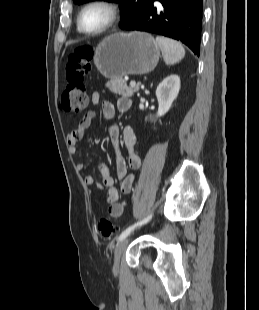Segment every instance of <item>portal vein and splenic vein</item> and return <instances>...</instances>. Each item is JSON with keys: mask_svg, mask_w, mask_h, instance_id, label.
<instances>
[{"mask_svg": "<svg viewBox=\"0 0 259 310\" xmlns=\"http://www.w3.org/2000/svg\"><path fill=\"white\" fill-rule=\"evenodd\" d=\"M130 86H131V87L136 86V82H135V81H131V82H130Z\"/></svg>", "mask_w": 259, "mask_h": 310, "instance_id": "obj_1", "label": "portal vein and splenic vein"}]
</instances>
